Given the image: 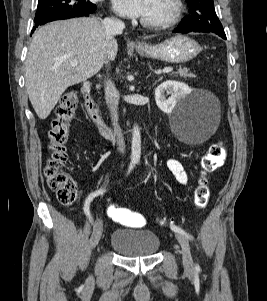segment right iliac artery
Returning <instances> with one entry per match:
<instances>
[{"mask_svg":"<svg viewBox=\"0 0 267 301\" xmlns=\"http://www.w3.org/2000/svg\"><path fill=\"white\" fill-rule=\"evenodd\" d=\"M134 164H135L134 162L130 163V166H129V169H128V173H127V174H129L130 171L133 169ZM105 191H106L105 189H100V190H97V191L93 192V193L88 197V199H87L86 202H85V205H84V211H85V213L87 214V216H88L90 222H92V223H93V219H92V217H91V215H90V213H89V205H90V202H91V200H92L94 197H96V196H98V195L104 194Z\"/></svg>","mask_w":267,"mask_h":301,"instance_id":"right-iliac-artery-1","label":"right iliac artery"}]
</instances>
